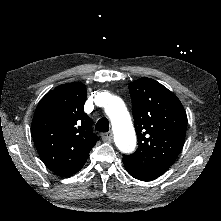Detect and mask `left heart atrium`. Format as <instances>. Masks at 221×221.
Instances as JSON below:
<instances>
[{
	"label": "left heart atrium",
	"instance_id": "1",
	"mask_svg": "<svg viewBox=\"0 0 221 221\" xmlns=\"http://www.w3.org/2000/svg\"><path fill=\"white\" fill-rule=\"evenodd\" d=\"M99 175H103V173H99Z\"/></svg>",
	"mask_w": 221,
	"mask_h": 221
}]
</instances>
